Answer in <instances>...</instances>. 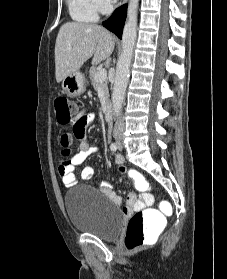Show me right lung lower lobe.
<instances>
[{"instance_id": "1", "label": "right lung lower lobe", "mask_w": 227, "mask_h": 279, "mask_svg": "<svg viewBox=\"0 0 227 279\" xmlns=\"http://www.w3.org/2000/svg\"><path fill=\"white\" fill-rule=\"evenodd\" d=\"M126 13L127 5H123L119 7L111 17H109L106 21L102 23L104 27L116 34L120 39L122 37Z\"/></svg>"}]
</instances>
